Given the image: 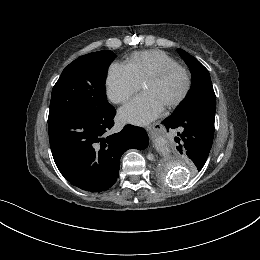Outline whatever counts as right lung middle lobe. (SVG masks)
<instances>
[{"instance_id":"1","label":"right lung middle lobe","mask_w":260,"mask_h":260,"mask_svg":"<svg viewBox=\"0 0 260 260\" xmlns=\"http://www.w3.org/2000/svg\"><path fill=\"white\" fill-rule=\"evenodd\" d=\"M114 58L110 50H102L70 63L53 87L48 119L70 114L96 115L110 108L105 81Z\"/></svg>"}]
</instances>
